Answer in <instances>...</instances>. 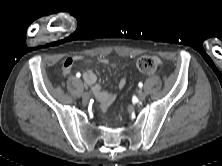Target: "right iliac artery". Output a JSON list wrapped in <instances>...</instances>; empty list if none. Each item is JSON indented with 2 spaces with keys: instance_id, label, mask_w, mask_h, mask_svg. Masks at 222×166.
Segmentation results:
<instances>
[{
  "instance_id": "1",
  "label": "right iliac artery",
  "mask_w": 222,
  "mask_h": 166,
  "mask_svg": "<svg viewBox=\"0 0 222 166\" xmlns=\"http://www.w3.org/2000/svg\"><path fill=\"white\" fill-rule=\"evenodd\" d=\"M80 76H81V74H80V73H77V74H76V77H78V78H79Z\"/></svg>"
}]
</instances>
